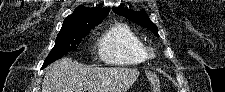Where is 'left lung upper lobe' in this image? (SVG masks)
I'll return each instance as SVG.
<instances>
[{
	"mask_svg": "<svg viewBox=\"0 0 225 92\" xmlns=\"http://www.w3.org/2000/svg\"><path fill=\"white\" fill-rule=\"evenodd\" d=\"M113 11L121 16H124L128 18L130 21L137 23L138 25H141L142 27H145L152 31L156 36L158 35V28L156 25L149 19L147 14L144 11L135 12L128 8H112Z\"/></svg>",
	"mask_w": 225,
	"mask_h": 92,
	"instance_id": "left-lung-upper-lobe-1",
	"label": "left lung upper lobe"
}]
</instances>
